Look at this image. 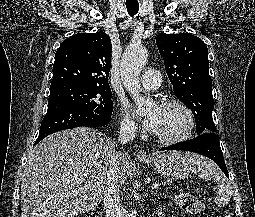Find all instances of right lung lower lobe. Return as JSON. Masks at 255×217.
I'll return each mask as SVG.
<instances>
[{
	"label": "right lung lower lobe",
	"mask_w": 255,
	"mask_h": 217,
	"mask_svg": "<svg viewBox=\"0 0 255 217\" xmlns=\"http://www.w3.org/2000/svg\"><path fill=\"white\" fill-rule=\"evenodd\" d=\"M110 120L111 115L98 114L69 103H54L48 105V110L42 120L39 136L35 144L46 136L64 129L78 126L101 127Z\"/></svg>",
	"instance_id": "right-lung-lower-lobe-1"
}]
</instances>
